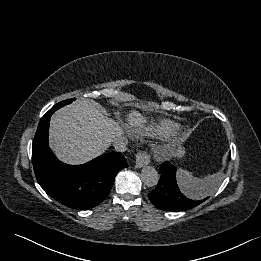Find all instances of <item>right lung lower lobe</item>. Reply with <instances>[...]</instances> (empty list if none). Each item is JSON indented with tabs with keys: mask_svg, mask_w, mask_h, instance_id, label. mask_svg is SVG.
Here are the masks:
<instances>
[{
	"mask_svg": "<svg viewBox=\"0 0 261 261\" xmlns=\"http://www.w3.org/2000/svg\"><path fill=\"white\" fill-rule=\"evenodd\" d=\"M59 109L53 106L40 120L32 146L36 179L52 198L70 208L88 210L109 194L118 171L128 167L121 153L103 154L83 165L59 161L48 145L49 122Z\"/></svg>",
	"mask_w": 261,
	"mask_h": 261,
	"instance_id": "1",
	"label": "right lung lower lobe"
}]
</instances>
